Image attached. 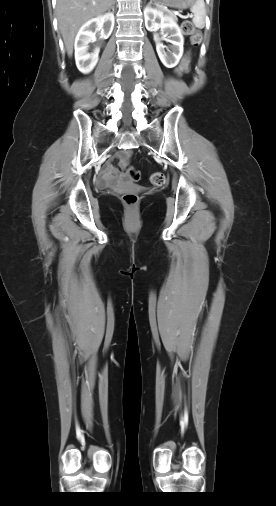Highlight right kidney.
<instances>
[{"label":"right kidney","instance_id":"1","mask_svg":"<svg viewBox=\"0 0 276 506\" xmlns=\"http://www.w3.org/2000/svg\"><path fill=\"white\" fill-rule=\"evenodd\" d=\"M114 14L105 13L97 16L86 23L79 29L75 38V60L79 71L89 73L93 70L98 62L100 48L96 47L89 52L88 44L96 39V32H100V39H107L114 28Z\"/></svg>","mask_w":276,"mask_h":506}]
</instances>
